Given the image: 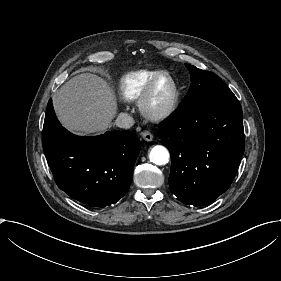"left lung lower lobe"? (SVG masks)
<instances>
[{
  "label": "left lung lower lobe",
  "instance_id": "obj_1",
  "mask_svg": "<svg viewBox=\"0 0 281 281\" xmlns=\"http://www.w3.org/2000/svg\"><path fill=\"white\" fill-rule=\"evenodd\" d=\"M157 134L170 151L169 185L181 202L205 205L230 187L245 146L236 97L180 107Z\"/></svg>",
  "mask_w": 281,
  "mask_h": 281
}]
</instances>
